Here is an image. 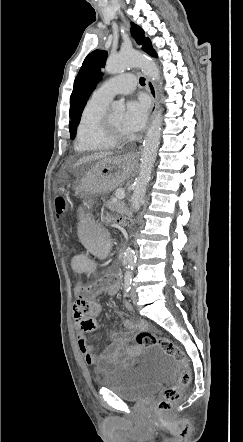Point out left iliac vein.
Returning <instances> with one entry per match:
<instances>
[{
    "mask_svg": "<svg viewBox=\"0 0 243 442\" xmlns=\"http://www.w3.org/2000/svg\"><path fill=\"white\" fill-rule=\"evenodd\" d=\"M130 298H131V301L135 304L136 301H137V293H136L135 290H131V292H130Z\"/></svg>",
    "mask_w": 243,
    "mask_h": 442,
    "instance_id": "4c4485c4",
    "label": "left iliac vein"
}]
</instances>
